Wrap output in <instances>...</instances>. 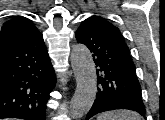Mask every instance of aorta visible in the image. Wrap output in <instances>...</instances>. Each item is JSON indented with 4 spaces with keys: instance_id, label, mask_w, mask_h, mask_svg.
I'll list each match as a JSON object with an SVG mask.
<instances>
[{
    "instance_id": "aorta-1",
    "label": "aorta",
    "mask_w": 165,
    "mask_h": 120,
    "mask_svg": "<svg viewBox=\"0 0 165 120\" xmlns=\"http://www.w3.org/2000/svg\"><path fill=\"white\" fill-rule=\"evenodd\" d=\"M70 60L76 79V90L71 100L69 114L72 118L79 119L94 103L97 93L96 68L90 51L83 44L73 46Z\"/></svg>"
}]
</instances>
